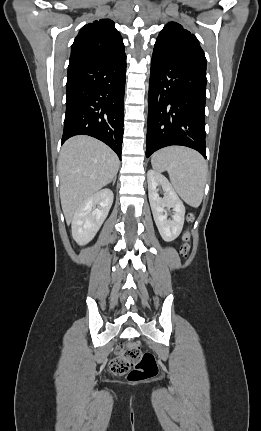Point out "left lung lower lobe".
Returning a JSON list of instances; mask_svg holds the SVG:
<instances>
[{"label": "left lung lower lobe", "mask_w": 261, "mask_h": 431, "mask_svg": "<svg viewBox=\"0 0 261 431\" xmlns=\"http://www.w3.org/2000/svg\"><path fill=\"white\" fill-rule=\"evenodd\" d=\"M206 70L153 51L146 157L171 145L187 146L206 158Z\"/></svg>", "instance_id": "0a47b994"}]
</instances>
